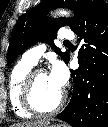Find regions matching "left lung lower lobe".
Wrapping results in <instances>:
<instances>
[{
	"label": "left lung lower lobe",
	"mask_w": 108,
	"mask_h": 127,
	"mask_svg": "<svg viewBox=\"0 0 108 127\" xmlns=\"http://www.w3.org/2000/svg\"><path fill=\"white\" fill-rule=\"evenodd\" d=\"M73 31L86 44L79 50V68L71 70L72 98L57 118L73 127H108V5L84 0Z\"/></svg>",
	"instance_id": "1"
}]
</instances>
